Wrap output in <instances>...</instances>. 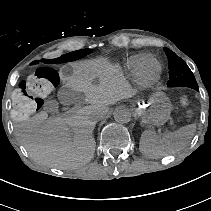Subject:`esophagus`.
I'll list each match as a JSON object with an SVG mask.
<instances>
[{
	"mask_svg": "<svg viewBox=\"0 0 211 211\" xmlns=\"http://www.w3.org/2000/svg\"><path fill=\"white\" fill-rule=\"evenodd\" d=\"M127 107L130 110H140L142 109L143 104L140 101H130L128 102Z\"/></svg>",
	"mask_w": 211,
	"mask_h": 211,
	"instance_id": "34e87169",
	"label": "esophagus"
}]
</instances>
